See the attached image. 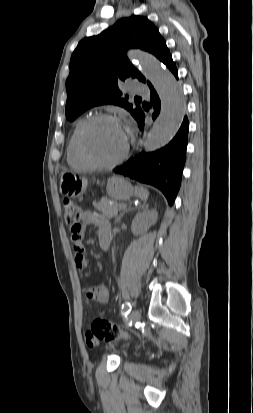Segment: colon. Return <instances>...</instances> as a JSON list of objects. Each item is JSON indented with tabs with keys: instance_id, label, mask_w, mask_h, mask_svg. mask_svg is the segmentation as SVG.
<instances>
[{
	"instance_id": "5ec220e1",
	"label": "colon",
	"mask_w": 253,
	"mask_h": 413,
	"mask_svg": "<svg viewBox=\"0 0 253 413\" xmlns=\"http://www.w3.org/2000/svg\"><path fill=\"white\" fill-rule=\"evenodd\" d=\"M63 211L66 224L69 225L71 229L77 228L80 224L81 217V211L78 205L69 199H65L63 201ZM122 336L126 335L118 326L100 317L92 321L90 329L86 334L89 340H104L107 342L116 340Z\"/></svg>"
}]
</instances>
